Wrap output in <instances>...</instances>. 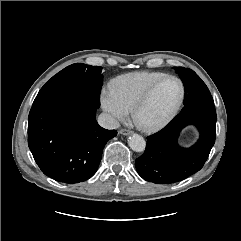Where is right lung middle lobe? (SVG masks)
Here are the masks:
<instances>
[{
  "label": "right lung middle lobe",
  "instance_id": "right-lung-middle-lobe-1",
  "mask_svg": "<svg viewBox=\"0 0 241 241\" xmlns=\"http://www.w3.org/2000/svg\"><path fill=\"white\" fill-rule=\"evenodd\" d=\"M101 70L99 66L79 63L64 68L41 88L32 108L68 100H85L98 108L103 84Z\"/></svg>",
  "mask_w": 241,
  "mask_h": 241
}]
</instances>
